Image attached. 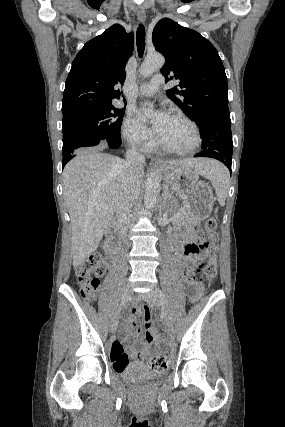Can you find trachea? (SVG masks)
Returning a JSON list of instances; mask_svg holds the SVG:
<instances>
[{"mask_svg":"<svg viewBox=\"0 0 285 427\" xmlns=\"http://www.w3.org/2000/svg\"><path fill=\"white\" fill-rule=\"evenodd\" d=\"M136 45L139 57L141 58L145 50V28L142 24L139 25L136 32Z\"/></svg>","mask_w":285,"mask_h":427,"instance_id":"3493384b","label":"trachea"}]
</instances>
